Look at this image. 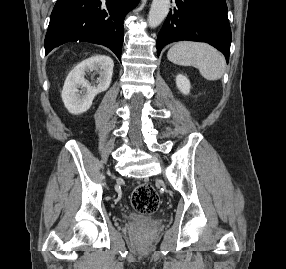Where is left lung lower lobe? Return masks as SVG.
Returning <instances> with one entry per match:
<instances>
[{
	"label": "left lung lower lobe",
	"mask_w": 286,
	"mask_h": 269,
	"mask_svg": "<svg viewBox=\"0 0 286 269\" xmlns=\"http://www.w3.org/2000/svg\"><path fill=\"white\" fill-rule=\"evenodd\" d=\"M193 40L209 43L229 60L231 29L225 0H175L157 37V54L168 43Z\"/></svg>",
	"instance_id": "left-lung-lower-lobe-1"
}]
</instances>
